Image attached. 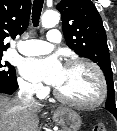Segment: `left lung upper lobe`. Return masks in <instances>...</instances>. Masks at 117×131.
Returning a JSON list of instances; mask_svg holds the SVG:
<instances>
[{
  "mask_svg": "<svg viewBox=\"0 0 117 131\" xmlns=\"http://www.w3.org/2000/svg\"><path fill=\"white\" fill-rule=\"evenodd\" d=\"M57 9L62 15L67 45L78 55L97 63L104 72L108 87L105 108L117 118L107 37L95 5L91 0H61Z\"/></svg>",
  "mask_w": 117,
  "mask_h": 131,
  "instance_id": "left-lung-upper-lobe-1",
  "label": "left lung upper lobe"
}]
</instances>
